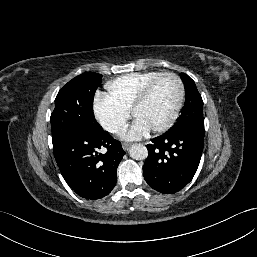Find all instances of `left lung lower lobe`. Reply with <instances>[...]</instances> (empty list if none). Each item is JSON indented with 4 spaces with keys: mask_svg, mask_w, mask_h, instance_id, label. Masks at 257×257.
I'll return each instance as SVG.
<instances>
[{
    "mask_svg": "<svg viewBox=\"0 0 257 257\" xmlns=\"http://www.w3.org/2000/svg\"><path fill=\"white\" fill-rule=\"evenodd\" d=\"M204 132L202 127H189L151 140L143 166L150 187L172 194L192 180L201 159Z\"/></svg>",
    "mask_w": 257,
    "mask_h": 257,
    "instance_id": "left-lung-lower-lobe-1",
    "label": "left lung lower lobe"
}]
</instances>
